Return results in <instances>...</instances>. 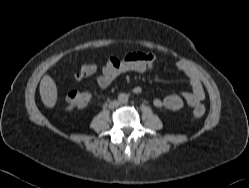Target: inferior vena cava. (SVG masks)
Returning <instances> with one entry per match:
<instances>
[{"instance_id": "obj_1", "label": "inferior vena cava", "mask_w": 249, "mask_h": 188, "mask_svg": "<svg viewBox=\"0 0 249 188\" xmlns=\"http://www.w3.org/2000/svg\"><path fill=\"white\" fill-rule=\"evenodd\" d=\"M119 105V101H111L109 103V108L113 109Z\"/></svg>"}]
</instances>
